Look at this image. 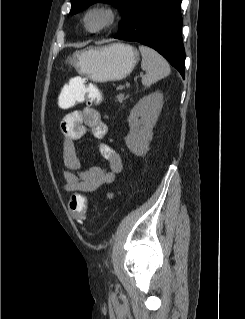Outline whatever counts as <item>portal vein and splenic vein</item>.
I'll list each match as a JSON object with an SVG mask.
<instances>
[{"label":"portal vein and splenic vein","mask_w":245,"mask_h":319,"mask_svg":"<svg viewBox=\"0 0 245 319\" xmlns=\"http://www.w3.org/2000/svg\"><path fill=\"white\" fill-rule=\"evenodd\" d=\"M124 88H125L124 85H120V86L117 87V89H119V90H122V89H124Z\"/></svg>","instance_id":"1"}]
</instances>
